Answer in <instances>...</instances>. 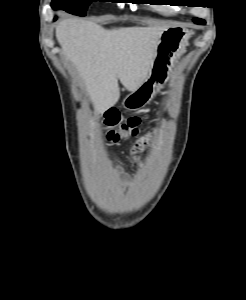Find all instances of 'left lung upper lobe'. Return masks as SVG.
<instances>
[{"mask_svg": "<svg viewBox=\"0 0 246 300\" xmlns=\"http://www.w3.org/2000/svg\"><path fill=\"white\" fill-rule=\"evenodd\" d=\"M194 22L197 23V24H205V21L203 19H194Z\"/></svg>", "mask_w": 246, "mask_h": 300, "instance_id": "obj_1", "label": "left lung upper lobe"}]
</instances>
